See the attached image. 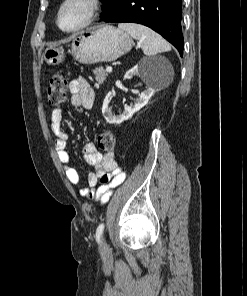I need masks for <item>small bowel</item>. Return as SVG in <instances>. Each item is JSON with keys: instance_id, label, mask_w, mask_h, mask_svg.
I'll return each instance as SVG.
<instances>
[{"instance_id": "c3829d8e", "label": "small bowel", "mask_w": 247, "mask_h": 296, "mask_svg": "<svg viewBox=\"0 0 247 296\" xmlns=\"http://www.w3.org/2000/svg\"><path fill=\"white\" fill-rule=\"evenodd\" d=\"M68 90L70 94V104L73 107L85 109L92 108L94 104V91L91 85L83 77H78L69 82ZM62 109L56 108L51 113V129L56 139L54 147L56 155L67 180L72 185L80 183V174L76 168L71 166L70 156L67 152L69 134L62 128ZM83 156L92 166L93 170L84 179V187L79 190V194L89 200H93L100 205L106 204L113 194V189L123 180V173L117 162L110 154H102L93 142H88L83 146ZM107 176L106 182L102 178Z\"/></svg>"}]
</instances>
